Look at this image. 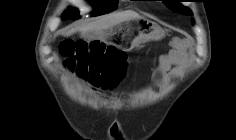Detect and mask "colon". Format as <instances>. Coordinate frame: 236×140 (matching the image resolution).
<instances>
[{"instance_id":"1","label":"colon","mask_w":236,"mask_h":140,"mask_svg":"<svg viewBox=\"0 0 236 140\" xmlns=\"http://www.w3.org/2000/svg\"><path fill=\"white\" fill-rule=\"evenodd\" d=\"M64 66L80 73L95 87L111 90L123 78L126 55L101 41L65 40L60 44Z\"/></svg>"}]
</instances>
